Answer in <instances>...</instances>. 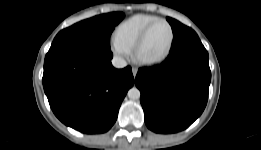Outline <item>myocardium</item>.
Here are the masks:
<instances>
[{"instance_id": "obj_1", "label": "myocardium", "mask_w": 261, "mask_h": 150, "mask_svg": "<svg viewBox=\"0 0 261 150\" xmlns=\"http://www.w3.org/2000/svg\"><path fill=\"white\" fill-rule=\"evenodd\" d=\"M158 23H165L169 27L170 38H169L168 46H167L165 52L161 56L156 57V58H144L141 55L142 46L144 45L151 29ZM174 37H175L174 29H173V26L171 25V23L168 20L163 19V18L156 19L155 21L151 22L148 26H146V28L142 31V33L138 37V39L133 47L134 60L138 64L143 65V66H154V65H158V64L164 62L171 53L173 43H174Z\"/></svg>"}]
</instances>
